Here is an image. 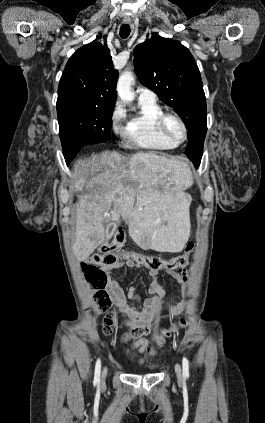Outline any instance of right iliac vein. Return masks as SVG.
Instances as JSON below:
<instances>
[{
  "label": "right iliac vein",
  "instance_id": "63e3f726",
  "mask_svg": "<svg viewBox=\"0 0 265 423\" xmlns=\"http://www.w3.org/2000/svg\"><path fill=\"white\" fill-rule=\"evenodd\" d=\"M107 368L105 367L102 372V379L106 376Z\"/></svg>",
  "mask_w": 265,
  "mask_h": 423
}]
</instances>
